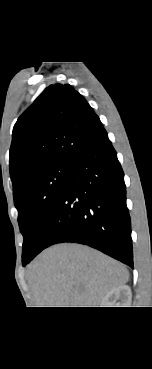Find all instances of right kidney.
Returning a JSON list of instances; mask_svg holds the SVG:
<instances>
[{
	"mask_svg": "<svg viewBox=\"0 0 152 369\" xmlns=\"http://www.w3.org/2000/svg\"><path fill=\"white\" fill-rule=\"evenodd\" d=\"M131 296V289L128 285L118 286L104 296L101 307H128Z\"/></svg>",
	"mask_w": 152,
	"mask_h": 369,
	"instance_id": "1",
	"label": "right kidney"
}]
</instances>
